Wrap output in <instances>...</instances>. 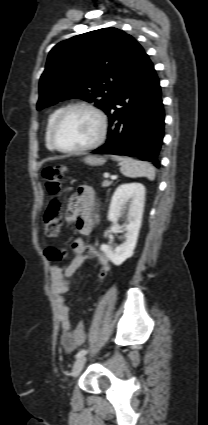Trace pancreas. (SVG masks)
Segmentation results:
<instances>
[{"label": "pancreas", "instance_id": "obj_1", "mask_svg": "<svg viewBox=\"0 0 208 425\" xmlns=\"http://www.w3.org/2000/svg\"><path fill=\"white\" fill-rule=\"evenodd\" d=\"M112 184V181L105 180L101 183L102 187H109Z\"/></svg>", "mask_w": 208, "mask_h": 425}]
</instances>
